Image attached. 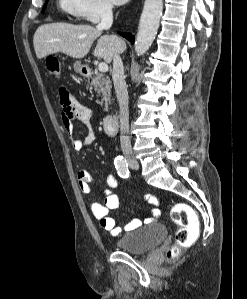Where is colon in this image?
<instances>
[{"label":"colon","mask_w":247,"mask_h":299,"mask_svg":"<svg viewBox=\"0 0 247 299\" xmlns=\"http://www.w3.org/2000/svg\"><path fill=\"white\" fill-rule=\"evenodd\" d=\"M46 67L50 75L59 77L61 74V65L58 58L48 56L46 58ZM171 219L178 226L175 233V244L168 251V258H174L178 255L180 247L189 246L198 236L199 224L193 209L184 203H177L171 209Z\"/></svg>","instance_id":"5ec220e1"}]
</instances>
